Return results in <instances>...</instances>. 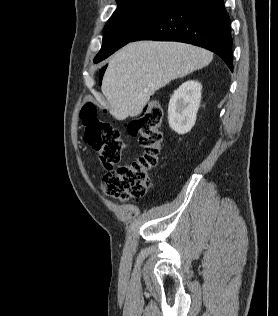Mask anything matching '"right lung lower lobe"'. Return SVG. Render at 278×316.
Segmentation results:
<instances>
[{
	"instance_id": "obj_1",
	"label": "right lung lower lobe",
	"mask_w": 278,
	"mask_h": 316,
	"mask_svg": "<svg viewBox=\"0 0 278 316\" xmlns=\"http://www.w3.org/2000/svg\"><path fill=\"white\" fill-rule=\"evenodd\" d=\"M178 41L219 55L233 71L230 18L223 0H168L132 41Z\"/></svg>"
}]
</instances>
